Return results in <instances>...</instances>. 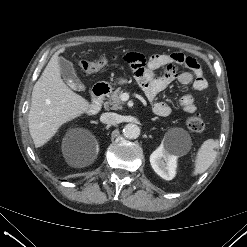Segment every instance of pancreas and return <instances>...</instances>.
<instances>
[{
	"label": "pancreas",
	"mask_w": 247,
	"mask_h": 247,
	"mask_svg": "<svg viewBox=\"0 0 247 247\" xmlns=\"http://www.w3.org/2000/svg\"><path fill=\"white\" fill-rule=\"evenodd\" d=\"M124 94V91L120 88H117L113 93L109 95L107 105L111 106L113 110H121L122 107V100L121 95Z\"/></svg>",
	"instance_id": "obj_1"
}]
</instances>
